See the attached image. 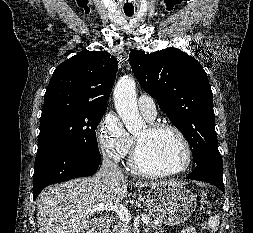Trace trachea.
<instances>
[{
	"label": "trachea",
	"mask_w": 253,
	"mask_h": 233,
	"mask_svg": "<svg viewBox=\"0 0 253 233\" xmlns=\"http://www.w3.org/2000/svg\"><path fill=\"white\" fill-rule=\"evenodd\" d=\"M127 16H132V14H126Z\"/></svg>",
	"instance_id": "3493384b"
}]
</instances>
